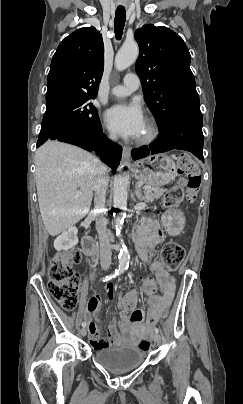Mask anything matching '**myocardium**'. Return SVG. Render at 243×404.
I'll list each match as a JSON object with an SVG mask.
<instances>
[{
    "label": "myocardium",
    "instance_id": "myocardium-1",
    "mask_svg": "<svg viewBox=\"0 0 243 404\" xmlns=\"http://www.w3.org/2000/svg\"><path fill=\"white\" fill-rule=\"evenodd\" d=\"M129 44L130 41L128 40ZM148 128L146 134L137 140L138 145H150L154 143L161 134V129L158 122L154 118H148L147 120Z\"/></svg>",
    "mask_w": 243,
    "mask_h": 404
}]
</instances>
